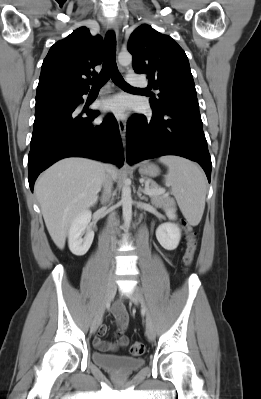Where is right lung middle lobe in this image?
<instances>
[{"mask_svg":"<svg viewBox=\"0 0 261 399\" xmlns=\"http://www.w3.org/2000/svg\"><path fill=\"white\" fill-rule=\"evenodd\" d=\"M73 97H75V96L39 102V103H36L35 108H40V107L48 106V105L58 103V102H63V101H70Z\"/></svg>","mask_w":261,"mask_h":399,"instance_id":"1","label":"right lung middle lobe"}]
</instances>
